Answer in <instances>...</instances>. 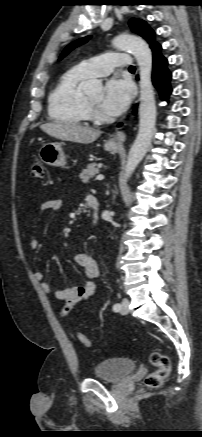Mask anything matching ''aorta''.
Listing matches in <instances>:
<instances>
[{
    "label": "aorta",
    "instance_id": "aorta-1",
    "mask_svg": "<svg viewBox=\"0 0 202 437\" xmlns=\"http://www.w3.org/2000/svg\"><path fill=\"white\" fill-rule=\"evenodd\" d=\"M113 46L131 52L139 66V130L127 158L124 176L128 179L144 158L151 144L155 128L156 106L151 79L152 53L148 44L142 38L130 34L116 36L113 39ZM83 90L86 94L101 93L103 90L102 82L99 80L86 81L83 83Z\"/></svg>",
    "mask_w": 202,
    "mask_h": 437
}]
</instances>
